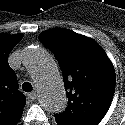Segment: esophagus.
<instances>
[{
	"mask_svg": "<svg viewBox=\"0 0 125 125\" xmlns=\"http://www.w3.org/2000/svg\"><path fill=\"white\" fill-rule=\"evenodd\" d=\"M27 96H28V98L30 100H35L37 98V93L36 92H31Z\"/></svg>",
	"mask_w": 125,
	"mask_h": 125,
	"instance_id": "esophagus-1",
	"label": "esophagus"
}]
</instances>
